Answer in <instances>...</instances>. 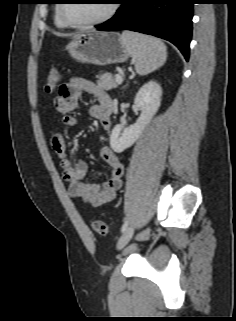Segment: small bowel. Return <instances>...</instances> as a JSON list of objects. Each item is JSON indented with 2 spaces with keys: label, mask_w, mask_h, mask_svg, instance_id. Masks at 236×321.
<instances>
[{
  "label": "small bowel",
  "mask_w": 236,
  "mask_h": 321,
  "mask_svg": "<svg viewBox=\"0 0 236 321\" xmlns=\"http://www.w3.org/2000/svg\"><path fill=\"white\" fill-rule=\"evenodd\" d=\"M83 92L95 96L97 103L91 106L90 113L98 119L104 131H110L112 119L109 95L92 81L80 77H73L65 83L54 99V107L62 116V123L69 128L78 126V118L70 114L80 108L79 101ZM51 146L60 160L64 178L68 183V192L72 197L80 198L92 206H101L115 198L117 190L121 187L124 166L109 147L103 146L99 149L100 158L110 168L109 178L102 184H94L85 181V161L77 159L72 162L68 159L66 141L61 133L56 132L52 135Z\"/></svg>",
  "instance_id": "c3829d8e"
}]
</instances>
